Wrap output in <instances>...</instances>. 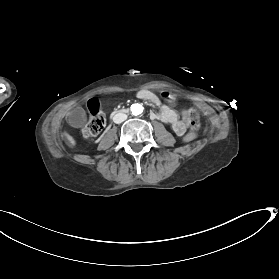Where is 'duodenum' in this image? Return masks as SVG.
I'll list each match as a JSON object with an SVG mask.
<instances>
[{
  "instance_id": "duodenum-1",
  "label": "duodenum",
  "mask_w": 279,
  "mask_h": 279,
  "mask_svg": "<svg viewBox=\"0 0 279 279\" xmlns=\"http://www.w3.org/2000/svg\"><path fill=\"white\" fill-rule=\"evenodd\" d=\"M118 113H122V108H117V110H112V113H108L106 115V126H104V131H101V134L97 135L95 138V143H100L103 140V136H106V131H109V128L112 127V118L113 115H118ZM123 113H131V108H123Z\"/></svg>"
}]
</instances>
